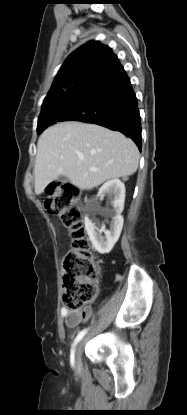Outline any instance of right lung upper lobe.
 Returning a JSON list of instances; mask_svg holds the SVG:
<instances>
[{
    "label": "right lung upper lobe",
    "instance_id": "obj_1",
    "mask_svg": "<svg viewBox=\"0 0 187 415\" xmlns=\"http://www.w3.org/2000/svg\"><path fill=\"white\" fill-rule=\"evenodd\" d=\"M117 59L112 50L97 41H90L75 50L60 68L44 99L46 109L65 97L78 82Z\"/></svg>",
    "mask_w": 187,
    "mask_h": 415
}]
</instances>
